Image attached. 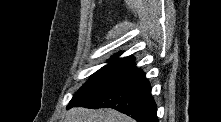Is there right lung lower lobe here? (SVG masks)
Here are the masks:
<instances>
[{
    "label": "right lung lower lobe",
    "instance_id": "98d812e1",
    "mask_svg": "<svg viewBox=\"0 0 221 122\" xmlns=\"http://www.w3.org/2000/svg\"><path fill=\"white\" fill-rule=\"evenodd\" d=\"M145 73L135 68L128 76L110 88L83 101L68 105L88 108L110 107L134 118L137 122H158L156 103Z\"/></svg>",
    "mask_w": 221,
    "mask_h": 122
}]
</instances>
